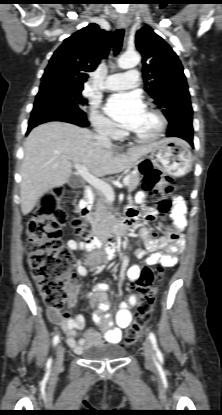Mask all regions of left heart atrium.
<instances>
[{"label": "left heart atrium", "mask_w": 222, "mask_h": 415, "mask_svg": "<svg viewBox=\"0 0 222 415\" xmlns=\"http://www.w3.org/2000/svg\"><path fill=\"white\" fill-rule=\"evenodd\" d=\"M104 110L122 127L130 129L142 114L144 105L137 93H118L108 98Z\"/></svg>", "instance_id": "left-heart-atrium-1"}]
</instances>
